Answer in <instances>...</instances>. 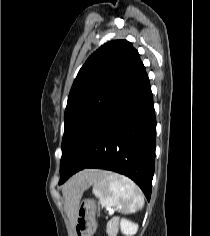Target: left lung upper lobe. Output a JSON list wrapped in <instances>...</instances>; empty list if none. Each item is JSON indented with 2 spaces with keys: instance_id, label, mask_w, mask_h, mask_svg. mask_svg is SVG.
<instances>
[{
  "instance_id": "5c2ea615",
  "label": "left lung upper lobe",
  "mask_w": 210,
  "mask_h": 236,
  "mask_svg": "<svg viewBox=\"0 0 210 236\" xmlns=\"http://www.w3.org/2000/svg\"><path fill=\"white\" fill-rule=\"evenodd\" d=\"M144 70L139 53L125 40L110 41L88 58L68 96L60 170L89 125Z\"/></svg>"
}]
</instances>
